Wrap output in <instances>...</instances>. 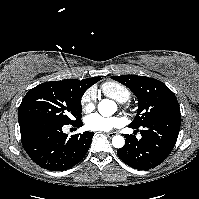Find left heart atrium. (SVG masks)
<instances>
[{"label":"left heart atrium","mask_w":199,"mask_h":199,"mask_svg":"<svg viewBox=\"0 0 199 199\" xmlns=\"http://www.w3.org/2000/svg\"><path fill=\"white\" fill-rule=\"evenodd\" d=\"M121 119L118 117H104L98 113L89 115L86 118V126L94 131H108L120 126Z\"/></svg>","instance_id":"39dd6f15"}]
</instances>
